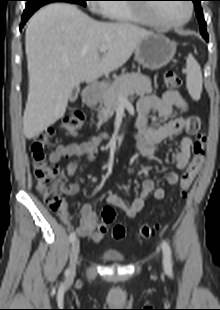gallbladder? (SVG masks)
<instances>
[{
	"label": "gallbladder",
	"mask_w": 220,
	"mask_h": 310,
	"mask_svg": "<svg viewBox=\"0 0 220 310\" xmlns=\"http://www.w3.org/2000/svg\"><path fill=\"white\" fill-rule=\"evenodd\" d=\"M79 91H80L79 86H75L72 89V92H71V95H70V98H69L70 102H74L77 99Z\"/></svg>",
	"instance_id": "gallbladder-1"
}]
</instances>
